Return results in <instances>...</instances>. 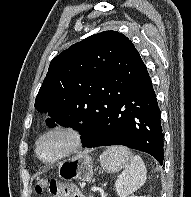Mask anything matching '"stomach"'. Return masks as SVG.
<instances>
[{"mask_svg":"<svg viewBox=\"0 0 191 197\" xmlns=\"http://www.w3.org/2000/svg\"><path fill=\"white\" fill-rule=\"evenodd\" d=\"M101 166L107 172H115L122 168L123 164L113 159L108 151L101 157ZM92 158L87 153H81L59 167V177L63 180L79 179L89 181L93 176Z\"/></svg>","mask_w":191,"mask_h":197,"instance_id":"stomach-1","label":"stomach"}]
</instances>
